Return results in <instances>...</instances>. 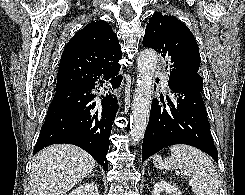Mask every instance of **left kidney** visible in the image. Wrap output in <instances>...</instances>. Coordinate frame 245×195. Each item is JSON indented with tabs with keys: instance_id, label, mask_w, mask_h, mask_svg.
Wrapping results in <instances>:
<instances>
[{
	"instance_id": "obj_1",
	"label": "left kidney",
	"mask_w": 245,
	"mask_h": 195,
	"mask_svg": "<svg viewBox=\"0 0 245 195\" xmlns=\"http://www.w3.org/2000/svg\"><path fill=\"white\" fill-rule=\"evenodd\" d=\"M162 193H165L166 195H182L178 188L164 180H161L154 185L152 195H161Z\"/></svg>"
}]
</instances>
